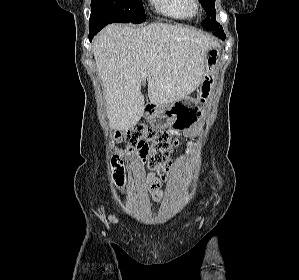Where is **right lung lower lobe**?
Segmentation results:
<instances>
[{
    "label": "right lung lower lobe",
    "instance_id": "1",
    "mask_svg": "<svg viewBox=\"0 0 299 280\" xmlns=\"http://www.w3.org/2000/svg\"><path fill=\"white\" fill-rule=\"evenodd\" d=\"M89 40L110 23H126L125 19L112 10L101 6L91 7Z\"/></svg>",
    "mask_w": 299,
    "mask_h": 280
}]
</instances>
